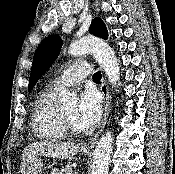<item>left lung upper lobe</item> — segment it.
Masks as SVG:
<instances>
[{
	"mask_svg": "<svg viewBox=\"0 0 175 174\" xmlns=\"http://www.w3.org/2000/svg\"><path fill=\"white\" fill-rule=\"evenodd\" d=\"M90 33L107 39L108 32L101 18H95L89 29ZM62 46V39L58 36H50L46 38L35 52L33 65L31 68L29 79V91L34 87L37 80L49 68L53 61L57 58Z\"/></svg>",
	"mask_w": 175,
	"mask_h": 174,
	"instance_id": "5c2ea615",
	"label": "left lung upper lobe"
}]
</instances>
